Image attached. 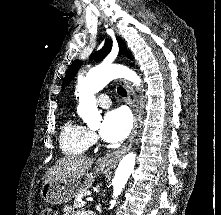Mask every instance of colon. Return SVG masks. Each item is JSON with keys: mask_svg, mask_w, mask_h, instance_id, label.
I'll return each mask as SVG.
<instances>
[{"mask_svg": "<svg viewBox=\"0 0 221 215\" xmlns=\"http://www.w3.org/2000/svg\"><path fill=\"white\" fill-rule=\"evenodd\" d=\"M41 215H58L57 209L53 207H47L43 209Z\"/></svg>", "mask_w": 221, "mask_h": 215, "instance_id": "5ec220e1", "label": "colon"}]
</instances>
